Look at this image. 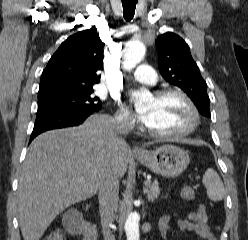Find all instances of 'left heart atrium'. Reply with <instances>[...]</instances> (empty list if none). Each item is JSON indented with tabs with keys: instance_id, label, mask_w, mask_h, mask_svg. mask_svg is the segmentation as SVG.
<instances>
[{
	"instance_id": "left-heart-atrium-1",
	"label": "left heart atrium",
	"mask_w": 248,
	"mask_h": 240,
	"mask_svg": "<svg viewBox=\"0 0 248 240\" xmlns=\"http://www.w3.org/2000/svg\"><path fill=\"white\" fill-rule=\"evenodd\" d=\"M139 119L143 124L148 125L152 119V115L150 112L145 111L144 113L139 115Z\"/></svg>"
}]
</instances>
